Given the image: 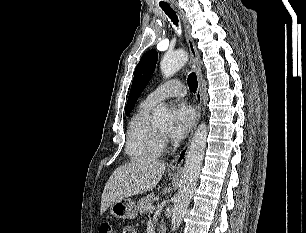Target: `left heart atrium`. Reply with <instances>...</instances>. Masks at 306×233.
<instances>
[{"label":"left heart atrium","mask_w":306,"mask_h":233,"mask_svg":"<svg viewBox=\"0 0 306 233\" xmlns=\"http://www.w3.org/2000/svg\"><path fill=\"white\" fill-rule=\"evenodd\" d=\"M195 113L186 102H180L174 109V123L170 135L175 140L183 139L193 126Z\"/></svg>","instance_id":"obj_1"}]
</instances>
